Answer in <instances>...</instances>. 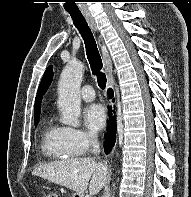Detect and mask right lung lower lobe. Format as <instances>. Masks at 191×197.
<instances>
[{"instance_id": "obj_1", "label": "right lung lower lobe", "mask_w": 191, "mask_h": 197, "mask_svg": "<svg viewBox=\"0 0 191 197\" xmlns=\"http://www.w3.org/2000/svg\"><path fill=\"white\" fill-rule=\"evenodd\" d=\"M108 93L110 97L113 96V92L111 89L108 91ZM115 118V116H110L109 118V123L112 128L105 135L104 147L106 153L111 151V147L114 145L116 140Z\"/></svg>"}]
</instances>
